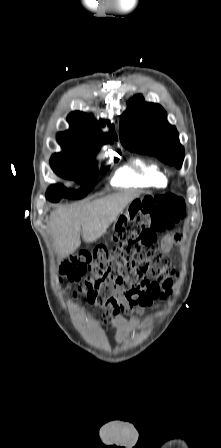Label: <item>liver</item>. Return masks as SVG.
I'll return each instance as SVG.
<instances>
[{
    "label": "liver",
    "instance_id": "liver-1",
    "mask_svg": "<svg viewBox=\"0 0 221 448\" xmlns=\"http://www.w3.org/2000/svg\"><path fill=\"white\" fill-rule=\"evenodd\" d=\"M137 196L136 193H119L76 208L60 207L51 212L48 227L59 256L65 257L80 247L81 229L86 243L97 241Z\"/></svg>",
    "mask_w": 221,
    "mask_h": 448
}]
</instances>
